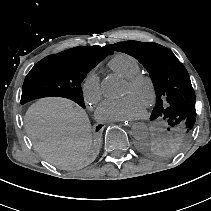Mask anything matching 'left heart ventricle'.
<instances>
[{
  "label": "left heart ventricle",
  "mask_w": 211,
  "mask_h": 211,
  "mask_svg": "<svg viewBox=\"0 0 211 211\" xmlns=\"http://www.w3.org/2000/svg\"><path fill=\"white\" fill-rule=\"evenodd\" d=\"M123 94L135 95L144 105L148 101V89L145 85L138 88H133L128 83H125Z\"/></svg>",
  "instance_id": "b2bd125f"
}]
</instances>
